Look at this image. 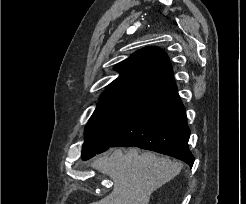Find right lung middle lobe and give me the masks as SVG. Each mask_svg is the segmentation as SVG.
<instances>
[{
    "mask_svg": "<svg viewBox=\"0 0 246 204\" xmlns=\"http://www.w3.org/2000/svg\"><path fill=\"white\" fill-rule=\"evenodd\" d=\"M135 100L100 101L86 125L82 159H87L110 148L123 119Z\"/></svg>",
    "mask_w": 246,
    "mask_h": 204,
    "instance_id": "1",
    "label": "right lung middle lobe"
}]
</instances>
